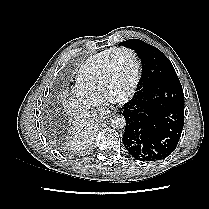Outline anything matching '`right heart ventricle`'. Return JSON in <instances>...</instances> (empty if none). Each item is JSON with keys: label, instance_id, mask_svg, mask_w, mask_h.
Here are the masks:
<instances>
[{"label": "right heart ventricle", "instance_id": "obj_1", "mask_svg": "<svg viewBox=\"0 0 209 209\" xmlns=\"http://www.w3.org/2000/svg\"><path fill=\"white\" fill-rule=\"evenodd\" d=\"M116 48L99 52L87 59L77 72L78 88L94 96H104L103 77L108 60Z\"/></svg>", "mask_w": 209, "mask_h": 209}]
</instances>
